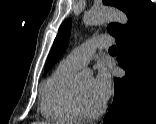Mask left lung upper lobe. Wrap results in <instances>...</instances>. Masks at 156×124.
<instances>
[{"instance_id": "left-lung-upper-lobe-1", "label": "left lung upper lobe", "mask_w": 156, "mask_h": 124, "mask_svg": "<svg viewBox=\"0 0 156 124\" xmlns=\"http://www.w3.org/2000/svg\"><path fill=\"white\" fill-rule=\"evenodd\" d=\"M146 0H103L105 5H111L119 8L124 11L128 16V24L120 25L118 23H112L108 26V32L112 36H117L119 33L126 30L134 21L137 13L142 8ZM71 19H67L59 28L58 34L55 38L54 44L51 48V51L48 55L45 70H49L62 56L64 50L67 47L70 28H71Z\"/></svg>"}]
</instances>
